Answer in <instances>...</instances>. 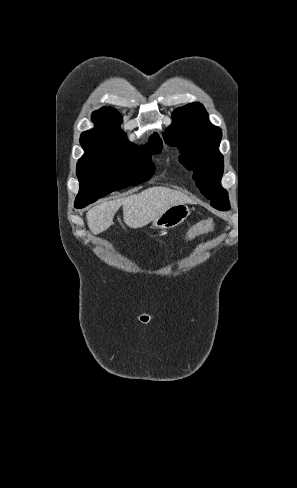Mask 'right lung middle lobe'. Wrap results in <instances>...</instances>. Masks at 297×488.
<instances>
[{
	"instance_id": "dd1d6c3e",
	"label": "right lung middle lobe",
	"mask_w": 297,
	"mask_h": 488,
	"mask_svg": "<svg viewBox=\"0 0 297 488\" xmlns=\"http://www.w3.org/2000/svg\"><path fill=\"white\" fill-rule=\"evenodd\" d=\"M162 142L152 136L142 148L127 138L103 140L95 148H84L85 154L77 164L80 190L74 206L83 208L110 192L137 185L151 178L154 164L152 153H160Z\"/></svg>"
}]
</instances>
